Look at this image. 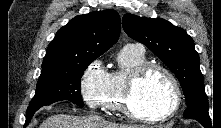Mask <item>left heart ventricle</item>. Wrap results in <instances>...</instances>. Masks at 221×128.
I'll return each mask as SVG.
<instances>
[{
  "label": "left heart ventricle",
  "mask_w": 221,
  "mask_h": 128,
  "mask_svg": "<svg viewBox=\"0 0 221 128\" xmlns=\"http://www.w3.org/2000/svg\"><path fill=\"white\" fill-rule=\"evenodd\" d=\"M172 102L171 85L161 71H152L139 83L133 98L135 109L143 114L163 113Z\"/></svg>",
  "instance_id": "left-heart-ventricle-1"
}]
</instances>
